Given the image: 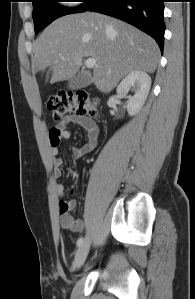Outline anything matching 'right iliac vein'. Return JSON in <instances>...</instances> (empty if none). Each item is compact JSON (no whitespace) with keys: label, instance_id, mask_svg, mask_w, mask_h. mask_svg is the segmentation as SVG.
Returning <instances> with one entry per match:
<instances>
[{"label":"right iliac vein","instance_id":"1","mask_svg":"<svg viewBox=\"0 0 195 299\" xmlns=\"http://www.w3.org/2000/svg\"><path fill=\"white\" fill-rule=\"evenodd\" d=\"M90 243H91L90 238L89 236H87L76 252L74 263H73L74 270L79 269L83 265L90 249Z\"/></svg>","mask_w":195,"mask_h":299}]
</instances>
